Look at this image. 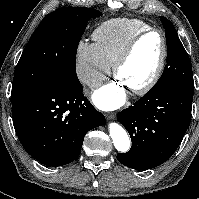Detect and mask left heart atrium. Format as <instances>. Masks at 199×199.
<instances>
[{"mask_svg": "<svg viewBox=\"0 0 199 199\" xmlns=\"http://www.w3.org/2000/svg\"><path fill=\"white\" fill-rule=\"evenodd\" d=\"M92 99L98 108L110 111L124 104L126 100V91L121 82H113L95 91Z\"/></svg>", "mask_w": 199, "mask_h": 199, "instance_id": "obj_1", "label": "left heart atrium"}]
</instances>
